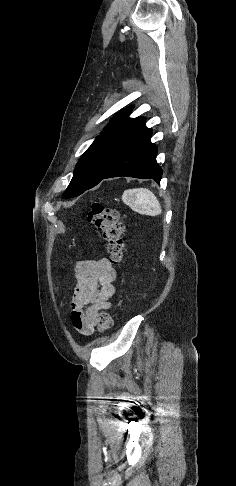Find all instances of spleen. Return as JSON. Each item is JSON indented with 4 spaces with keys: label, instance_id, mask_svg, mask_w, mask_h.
<instances>
[{
    "label": "spleen",
    "instance_id": "spleen-1",
    "mask_svg": "<svg viewBox=\"0 0 236 486\" xmlns=\"http://www.w3.org/2000/svg\"><path fill=\"white\" fill-rule=\"evenodd\" d=\"M122 200L133 211L140 214L156 216L162 213L157 197L146 188L126 190L122 195Z\"/></svg>",
    "mask_w": 236,
    "mask_h": 486
}]
</instances>
